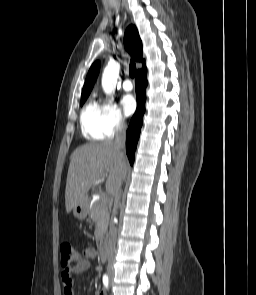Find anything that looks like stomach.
<instances>
[{
	"label": "stomach",
	"instance_id": "obj_1",
	"mask_svg": "<svg viewBox=\"0 0 256 295\" xmlns=\"http://www.w3.org/2000/svg\"><path fill=\"white\" fill-rule=\"evenodd\" d=\"M89 213L88 204L82 203L73 208V215L79 219L84 220Z\"/></svg>",
	"mask_w": 256,
	"mask_h": 295
}]
</instances>
